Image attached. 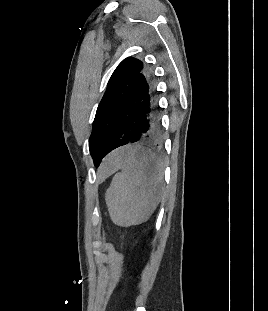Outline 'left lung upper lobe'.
<instances>
[{
    "mask_svg": "<svg viewBox=\"0 0 268 311\" xmlns=\"http://www.w3.org/2000/svg\"><path fill=\"white\" fill-rule=\"evenodd\" d=\"M144 66L141 60L127 57L117 66L108 82L89 139V150L96 167L104 157L111 137L123 122L124 107L130 102V93Z\"/></svg>",
    "mask_w": 268,
    "mask_h": 311,
    "instance_id": "obj_1",
    "label": "left lung upper lobe"
}]
</instances>
